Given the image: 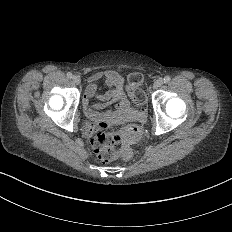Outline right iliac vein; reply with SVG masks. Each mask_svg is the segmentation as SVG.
<instances>
[{"mask_svg": "<svg viewBox=\"0 0 232 232\" xmlns=\"http://www.w3.org/2000/svg\"><path fill=\"white\" fill-rule=\"evenodd\" d=\"M72 81L76 84L79 85L81 83L80 77L79 76H74L72 78Z\"/></svg>", "mask_w": 232, "mask_h": 232, "instance_id": "obj_1", "label": "right iliac vein"}]
</instances>
